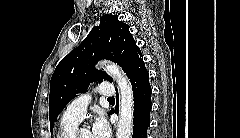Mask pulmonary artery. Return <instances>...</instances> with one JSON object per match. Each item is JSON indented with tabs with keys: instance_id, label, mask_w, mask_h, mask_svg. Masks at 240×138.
Instances as JSON below:
<instances>
[{
	"instance_id": "e3ab8cb5",
	"label": "pulmonary artery",
	"mask_w": 240,
	"mask_h": 138,
	"mask_svg": "<svg viewBox=\"0 0 240 138\" xmlns=\"http://www.w3.org/2000/svg\"><path fill=\"white\" fill-rule=\"evenodd\" d=\"M97 91L101 96L107 98H111L114 95V88L112 84L108 82H102ZM91 99L92 97L90 94H84L77 97L68 104L64 115L82 120L86 114Z\"/></svg>"
}]
</instances>
